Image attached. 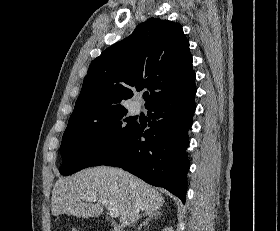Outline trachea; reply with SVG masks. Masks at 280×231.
Returning <instances> with one entry per match:
<instances>
[{
  "mask_svg": "<svg viewBox=\"0 0 280 231\" xmlns=\"http://www.w3.org/2000/svg\"><path fill=\"white\" fill-rule=\"evenodd\" d=\"M148 96H149L148 94H144L143 95L144 100H146L148 98Z\"/></svg>",
  "mask_w": 280,
  "mask_h": 231,
  "instance_id": "obj_1",
  "label": "trachea"
}]
</instances>
